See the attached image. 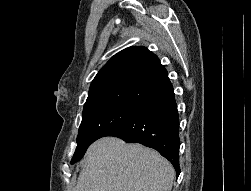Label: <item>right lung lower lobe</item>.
Here are the masks:
<instances>
[{"label":"right lung lower lobe","mask_w":251,"mask_h":191,"mask_svg":"<svg viewBox=\"0 0 251 191\" xmlns=\"http://www.w3.org/2000/svg\"><path fill=\"white\" fill-rule=\"evenodd\" d=\"M106 136L118 137L127 143H140L157 150L172 163L178 178L179 116L173 87L142 107Z\"/></svg>","instance_id":"right-lung-lower-lobe-1"}]
</instances>
